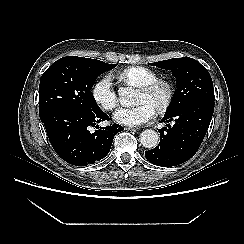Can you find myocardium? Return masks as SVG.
<instances>
[{
  "label": "myocardium",
  "instance_id": "obj_1",
  "mask_svg": "<svg viewBox=\"0 0 244 244\" xmlns=\"http://www.w3.org/2000/svg\"><path fill=\"white\" fill-rule=\"evenodd\" d=\"M140 91L151 97L162 93L161 100L155 106L158 113H165L169 109L174 97L173 85L166 79L158 78L150 84L140 87Z\"/></svg>",
  "mask_w": 244,
  "mask_h": 244
}]
</instances>
